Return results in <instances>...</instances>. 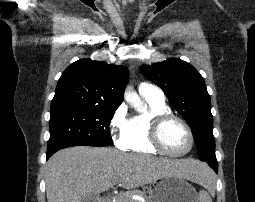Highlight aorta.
<instances>
[{"instance_id": "1", "label": "aorta", "mask_w": 255, "mask_h": 202, "mask_svg": "<svg viewBox=\"0 0 255 202\" xmlns=\"http://www.w3.org/2000/svg\"><path fill=\"white\" fill-rule=\"evenodd\" d=\"M125 99L138 112H143L146 109L145 105L143 104L139 95L136 92H132V91L126 92Z\"/></svg>"}]
</instances>
